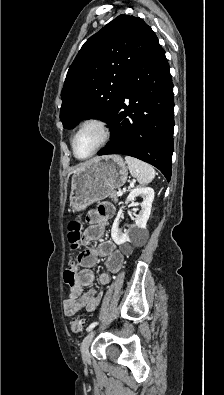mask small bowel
Here are the masks:
<instances>
[{
  "instance_id": "obj_1",
  "label": "small bowel",
  "mask_w": 224,
  "mask_h": 395,
  "mask_svg": "<svg viewBox=\"0 0 224 395\" xmlns=\"http://www.w3.org/2000/svg\"><path fill=\"white\" fill-rule=\"evenodd\" d=\"M115 208L109 203H103L96 209L89 211L87 216L88 227L84 231L83 239L86 244L101 240L105 233L108 219L113 216ZM100 258L105 259L107 272H102L98 276L101 285L110 282V274L120 271L124 255L117 249L111 240H101L97 246L88 247L79 258L82 269L76 276L74 284L71 286L69 297L64 301V311L67 316L76 314L81 309L93 312L98 307L101 300V292L95 289L84 291L94 281V273L91 270Z\"/></svg>"
}]
</instances>
